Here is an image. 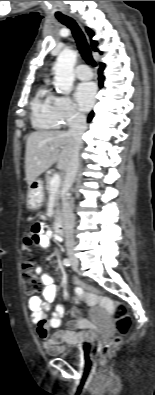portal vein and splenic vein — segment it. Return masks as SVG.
<instances>
[{"mask_svg":"<svg viewBox=\"0 0 155 395\" xmlns=\"http://www.w3.org/2000/svg\"><path fill=\"white\" fill-rule=\"evenodd\" d=\"M60 182H61L60 175L54 174L51 181H50L52 190H57L60 186Z\"/></svg>","mask_w":155,"mask_h":395,"instance_id":"portal-vein-and-splenic-vein-1","label":"portal vein and splenic vein"}]
</instances>
